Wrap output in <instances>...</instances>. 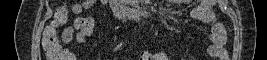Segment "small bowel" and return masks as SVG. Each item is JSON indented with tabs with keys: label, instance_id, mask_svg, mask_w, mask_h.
I'll list each match as a JSON object with an SVG mask.
<instances>
[{
	"label": "small bowel",
	"instance_id": "c3829d8e",
	"mask_svg": "<svg viewBox=\"0 0 267 60\" xmlns=\"http://www.w3.org/2000/svg\"><path fill=\"white\" fill-rule=\"evenodd\" d=\"M97 1L87 0L82 4L70 3L63 10H73L76 13H80L83 9L87 10L91 8ZM217 4L216 0H202L199 4L191 11L190 18L193 20L202 21L210 24L211 30L209 32L210 44L206 49L207 54L217 60H227L226 45V29L224 24L216 17L214 13V7ZM80 22L81 26L77 27L76 23ZM56 21L53 22V26L48 31H54ZM95 26V20L91 16L77 17L73 24L65 28L63 31L64 42H70L73 35L75 34L76 41L78 43H86L93 33ZM168 56L165 52L150 53L144 52L139 60H168ZM185 58H182V60Z\"/></svg>",
	"mask_w": 267,
	"mask_h": 60
}]
</instances>
